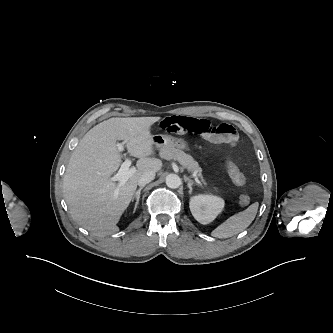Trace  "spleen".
<instances>
[{"mask_svg":"<svg viewBox=\"0 0 333 333\" xmlns=\"http://www.w3.org/2000/svg\"><path fill=\"white\" fill-rule=\"evenodd\" d=\"M258 207L259 203L255 202L251 204L246 210L229 217L223 223L217 226L211 232V235L217 238H228L242 232L255 219Z\"/></svg>","mask_w":333,"mask_h":333,"instance_id":"obj_1","label":"spleen"}]
</instances>
